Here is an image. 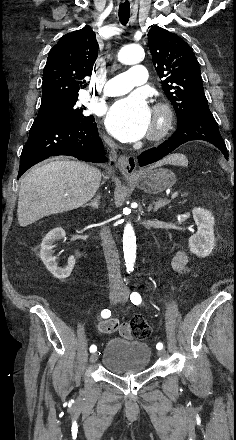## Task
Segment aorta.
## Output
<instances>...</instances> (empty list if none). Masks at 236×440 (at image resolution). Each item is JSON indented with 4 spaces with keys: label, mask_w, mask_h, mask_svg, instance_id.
<instances>
[{
    "label": "aorta",
    "mask_w": 236,
    "mask_h": 440,
    "mask_svg": "<svg viewBox=\"0 0 236 440\" xmlns=\"http://www.w3.org/2000/svg\"><path fill=\"white\" fill-rule=\"evenodd\" d=\"M144 56V49L140 45H129L119 51L118 60L123 64L132 65L140 63ZM123 252L126 269L131 272L136 261V236L131 223H127L124 227Z\"/></svg>",
    "instance_id": "1"
}]
</instances>
